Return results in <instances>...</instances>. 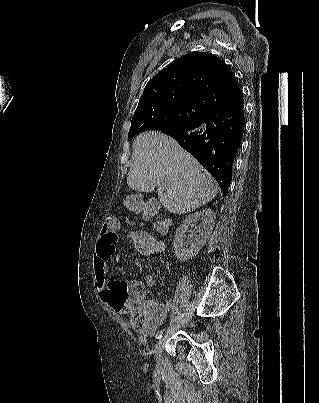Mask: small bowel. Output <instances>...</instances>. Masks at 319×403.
Instances as JSON below:
<instances>
[{"instance_id": "1", "label": "small bowel", "mask_w": 319, "mask_h": 403, "mask_svg": "<svg viewBox=\"0 0 319 403\" xmlns=\"http://www.w3.org/2000/svg\"><path fill=\"white\" fill-rule=\"evenodd\" d=\"M105 225H99V239L93 258L96 288L101 292V304L109 305L115 315H120L122 324H127L132 335H153L165 322L171 310L169 300L159 303L157 298L146 299L147 286L153 288V275L139 279H108V260L120 253L121 227L113 215L105 218Z\"/></svg>"}]
</instances>
